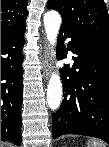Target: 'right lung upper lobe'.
Instances as JSON below:
<instances>
[{
    "label": "right lung upper lobe",
    "mask_w": 109,
    "mask_h": 147,
    "mask_svg": "<svg viewBox=\"0 0 109 147\" xmlns=\"http://www.w3.org/2000/svg\"><path fill=\"white\" fill-rule=\"evenodd\" d=\"M27 0H1V37L25 26Z\"/></svg>",
    "instance_id": "cb5924a9"
}]
</instances>
